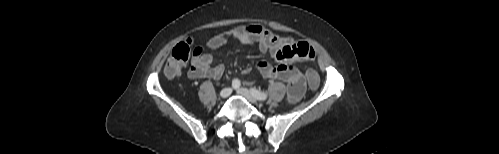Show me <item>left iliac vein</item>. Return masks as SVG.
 <instances>
[{
	"instance_id": "4c4485c4",
	"label": "left iliac vein",
	"mask_w": 499,
	"mask_h": 154,
	"mask_svg": "<svg viewBox=\"0 0 499 154\" xmlns=\"http://www.w3.org/2000/svg\"><path fill=\"white\" fill-rule=\"evenodd\" d=\"M237 94L244 97L251 103H257L258 99L246 88H239L236 90Z\"/></svg>"
}]
</instances>
